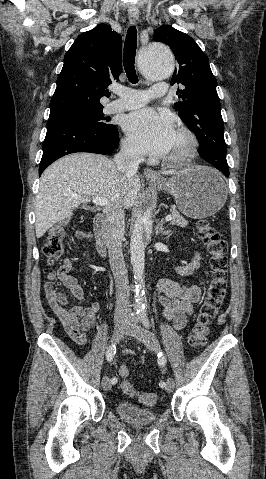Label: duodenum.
Returning a JSON list of instances; mask_svg holds the SVG:
<instances>
[{"instance_id":"duodenum-1","label":"duodenum","mask_w":266,"mask_h":479,"mask_svg":"<svg viewBox=\"0 0 266 479\" xmlns=\"http://www.w3.org/2000/svg\"><path fill=\"white\" fill-rule=\"evenodd\" d=\"M106 225V216L104 214H97L94 219V236L96 240L97 250L102 257H105L108 251L105 232Z\"/></svg>"}]
</instances>
